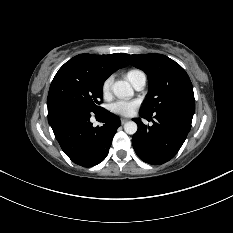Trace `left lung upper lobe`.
I'll list each match as a JSON object with an SVG mask.
<instances>
[{"label":"left lung upper lobe","mask_w":233,"mask_h":233,"mask_svg":"<svg viewBox=\"0 0 233 233\" xmlns=\"http://www.w3.org/2000/svg\"><path fill=\"white\" fill-rule=\"evenodd\" d=\"M123 56L148 76L149 94L141 111L149 115L172 111L193 117V86L186 71L178 63L162 54Z\"/></svg>","instance_id":"5c2ea615"}]
</instances>
